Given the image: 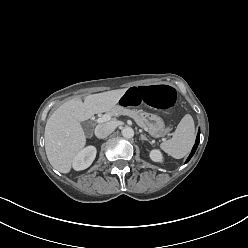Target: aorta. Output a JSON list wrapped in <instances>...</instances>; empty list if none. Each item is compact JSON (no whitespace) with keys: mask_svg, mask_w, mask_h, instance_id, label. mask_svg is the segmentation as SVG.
I'll return each mask as SVG.
<instances>
[{"mask_svg":"<svg viewBox=\"0 0 248 248\" xmlns=\"http://www.w3.org/2000/svg\"><path fill=\"white\" fill-rule=\"evenodd\" d=\"M121 133L125 138H132L134 136V130L131 127H124Z\"/></svg>","mask_w":248,"mask_h":248,"instance_id":"1","label":"aorta"}]
</instances>
